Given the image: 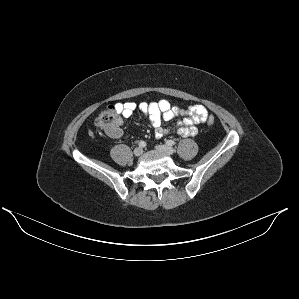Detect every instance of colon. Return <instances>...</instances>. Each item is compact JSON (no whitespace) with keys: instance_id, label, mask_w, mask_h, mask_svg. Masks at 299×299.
Listing matches in <instances>:
<instances>
[{"instance_id":"colon-1","label":"colon","mask_w":299,"mask_h":299,"mask_svg":"<svg viewBox=\"0 0 299 299\" xmlns=\"http://www.w3.org/2000/svg\"><path fill=\"white\" fill-rule=\"evenodd\" d=\"M206 121L209 125H214L215 118L212 115H208ZM120 123L118 112L114 108H108L98 115L95 120V127L99 131L115 134L120 130Z\"/></svg>"}]
</instances>
